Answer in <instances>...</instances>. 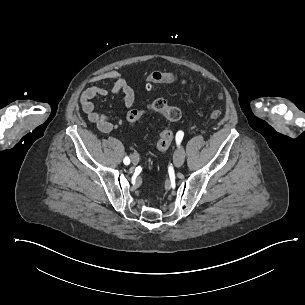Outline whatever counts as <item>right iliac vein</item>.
Wrapping results in <instances>:
<instances>
[{"instance_id":"63e3f726","label":"right iliac vein","mask_w":305,"mask_h":305,"mask_svg":"<svg viewBox=\"0 0 305 305\" xmlns=\"http://www.w3.org/2000/svg\"><path fill=\"white\" fill-rule=\"evenodd\" d=\"M139 161H140V158L137 154H132L131 155L132 164L137 165L139 163Z\"/></svg>"}]
</instances>
